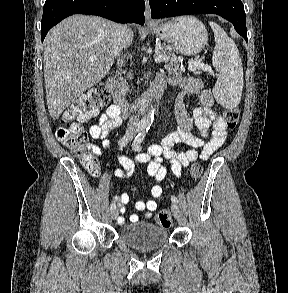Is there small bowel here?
<instances>
[{"label":"small bowel","mask_w":288,"mask_h":293,"mask_svg":"<svg viewBox=\"0 0 288 293\" xmlns=\"http://www.w3.org/2000/svg\"><path fill=\"white\" fill-rule=\"evenodd\" d=\"M170 83L181 88L175 102V116L178 127L175 131L168 133L160 144L152 145L146 153L130 159L122 154H116L120 167L116 169L117 177L123 178L133 173L138 164H145L147 174L152 177L156 184L151 188L153 199L135 203L138 211L144 212V216L149 218L157 210L156 199L161 197L164 187L161 182L167 176V169L163 166V159L169 160L171 169L176 177L181 175L184 167L197 159L207 160L225 142L227 137V126L214 110V98L211 91L205 88L203 82L195 77L171 78ZM197 97L199 106L188 112L186 99ZM124 114L116 105H111L105 113L101 114L97 124L89 128V134L93 139L99 140L104 148L110 145L109 135L115 131L123 121ZM199 131V135L193 134V129ZM211 132L209 133V130ZM210 134V138H208ZM185 144L190 148L186 151H178L175 146ZM92 151L101 155L100 147L91 146ZM200 149V151H198ZM117 204L121 214L125 213V205L129 202V196L125 193L117 196ZM139 215L134 213L129 217V221L136 223ZM125 218L120 216L118 223L123 224Z\"/></svg>","instance_id":"1"}]
</instances>
